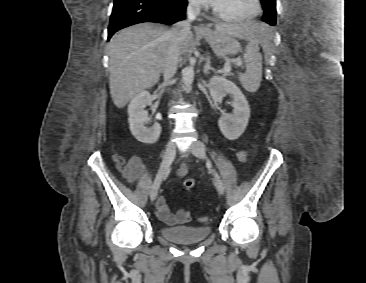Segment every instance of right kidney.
Instances as JSON below:
<instances>
[{
  "mask_svg": "<svg viewBox=\"0 0 366 283\" xmlns=\"http://www.w3.org/2000/svg\"><path fill=\"white\" fill-rule=\"evenodd\" d=\"M152 103V95L148 91H141L132 98L128 106L130 131L138 141L147 144L157 142L161 134V126L158 123L149 129L145 127V124L151 122L145 107L152 106Z\"/></svg>",
  "mask_w": 366,
  "mask_h": 283,
  "instance_id": "right-kidney-1",
  "label": "right kidney"
}]
</instances>
